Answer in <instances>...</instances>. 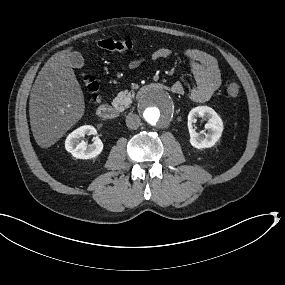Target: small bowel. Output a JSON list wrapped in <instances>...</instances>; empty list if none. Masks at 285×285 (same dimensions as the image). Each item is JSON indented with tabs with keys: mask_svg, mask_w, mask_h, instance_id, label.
Listing matches in <instances>:
<instances>
[{
	"mask_svg": "<svg viewBox=\"0 0 285 285\" xmlns=\"http://www.w3.org/2000/svg\"><path fill=\"white\" fill-rule=\"evenodd\" d=\"M180 54L189 65L195 84L187 90L184 84L178 81L172 84L171 91L176 95H187L194 102L207 101L222 82L217 60L209 53L195 48L184 49ZM173 55L174 52L168 48H158L152 53V59L161 60ZM142 61L141 58H133L129 61L128 67L135 69Z\"/></svg>",
	"mask_w": 285,
	"mask_h": 285,
	"instance_id": "1",
	"label": "small bowel"
}]
</instances>
